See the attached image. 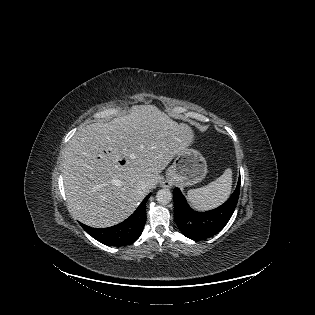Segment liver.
<instances>
[{
  "mask_svg": "<svg viewBox=\"0 0 315 315\" xmlns=\"http://www.w3.org/2000/svg\"><path fill=\"white\" fill-rule=\"evenodd\" d=\"M194 140L193 130L153 105L130 114L80 128L62 158L68 207L74 218L96 228L119 223L133 213L159 175ZM125 159L126 163L119 162Z\"/></svg>",
  "mask_w": 315,
  "mask_h": 315,
  "instance_id": "6515ba94",
  "label": "liver"
}]
</instances>
